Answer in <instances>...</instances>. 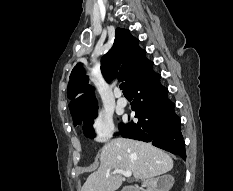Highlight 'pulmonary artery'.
<instances>
[{
  "instance_id": "e3ab8cb5",
  "label": "pulmonary artery",
  "mask_w": 233,
  "mask_h": 191,
  "mask_svg": "<svg viewBox=\"0 0 233 191\" xmlns=\"http://www.w3.org/2000/svg\"><path fill=\"white\" fill-rule=\"evenodd\" d=\"M115 95L117 98V104L121 107H125L127 105V100L125 97H123V95L119 89L115 90Z\"/></svg>"
}]
</instances>
